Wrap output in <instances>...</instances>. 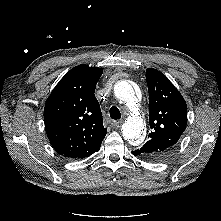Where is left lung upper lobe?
<instances>
[{
    "instance_id": "obj_1",
    "label": "left lung upper lobe",
    "mask_w": 221,
    "mask_h": 221,
    "mask_svg": "<svg viewBox=\"0 0 221 221\" xmlns=\"http://www.w3.org/2000/svg\"><path fill=\"white\" fill-rule=\"evenodd\" d=\"M149 122L148 141L133 154L148 161H160L174 149L186 129L187 106L184 98L160 71L148 68Z\"/></svg>"
}]
</instances>
